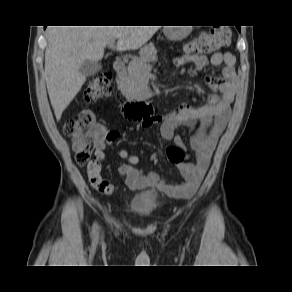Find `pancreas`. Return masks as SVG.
Wrapping results in <instances>:
<instances>
[{
    "label": "pancreas",
    "mask_w": 292,
    "mask_h": 292,
    "mask_svg": "<svg viewBox=\"0 0 292 292\" xmlns=\"http://www.w3.org/2000/svg\"><path fill=\"white\" fill-rule=\"evenodd\" d=\"M140 56L132 59L127 69L118 78V87L127 99H136L144 89L143 74L148 63L157 59V50L153 43L141 48Z\"/></svg>",
    "instance_id": "obj_1"
}]
</instances>
